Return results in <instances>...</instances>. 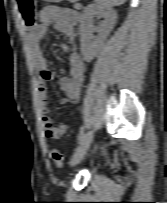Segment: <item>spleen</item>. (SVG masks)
Here are the masks:
<instances>
[{"label": "spleen", "mask_w": 167, "mask_h": 203, "mask_svg": "<svg viewBox=\"0 0 167 203\" xmlns=\"http://www.w3.org/2000/svg\"><path fill=\"white\" fill-rule=\"evenodd\" d=\"M95 1L103 7H113L123 4L126 0H95Z\"/></svg>", "instance_id": "1"}]
</instances>
